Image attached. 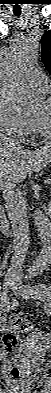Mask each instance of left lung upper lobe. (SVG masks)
Listing matches in <instances>:
<instances>
[{
  "instance_id": "1",
  "label": "left lung upper lobe",
  "mask_w": 51,
  "mask_h": 393,
  "mask_svg": "<svg viewBox=\"0 0 51 393\" xmlns=\"http://www.w3.org/2000/svg\"><path fill=\"white\" fill-rule=\"evenodd\" d=\"M42 61L51 74V30L45 32L41 40Z\"/></svg>"
}]
</instances>
